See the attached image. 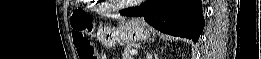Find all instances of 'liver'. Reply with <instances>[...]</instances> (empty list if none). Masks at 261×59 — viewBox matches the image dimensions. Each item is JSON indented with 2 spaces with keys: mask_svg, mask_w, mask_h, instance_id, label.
I'll use <instances>...</instances> for the list:
<instances>
[{
  "mask_svg": "<svg viewBox=\"0 0 261 59\" xmlns=\"http://www.w3.org/2000/svg\"><path fill=\"white\" fill-rule=\"evenodd\" d=\"M110 17H112V18H115V19L124 20V18H122V17H119V16H116V15H111Z\"/></svg>",
  "mask_w": 261,
  "mask_h": 59,
  "instance_id": "obj_1",
  "label": "liver"
}]
</instances>
